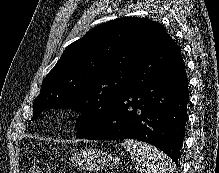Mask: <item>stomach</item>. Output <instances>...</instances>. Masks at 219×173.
<instances>
[{"label":"stomach","instance_id":"stomach-1","mask_svg":"<svg viewBox=\"0 0 219 173\" xmlns=\"http://www.w3.org/2000/svg\"><path fill=\"white\" fill-rule=\"evenodd\" d=\"M71 161L79 168L93 171L117 165L119 158L102 150L86 149L72 154Z\"/></svg>","mask_w":219,"mask_h":173}]
</instances>
